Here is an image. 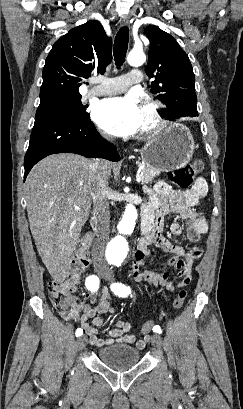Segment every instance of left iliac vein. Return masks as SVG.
I'll use <instances>...</instances> for the list:
<instances>
[{
	"label": "left iliac vein",
	"mask_w": 243,
	"mask_h": 409,
	"mask_svg": "<svg viewBox=\"0 0 243 409\" xmlns=\"http://www.w3.org/2000/svg\"><path fill=\"white\" fill-rule=\"evenodd\" d=\"M105 279L111 282L113 280V277L110 274H107V275H105ZM151 343H152V345L154 347L160 349L162 347V344H163L161 336L158 335V334H154L151 337Z\"/></svg>",
	"instance_id": "1"
}]
</instances>
